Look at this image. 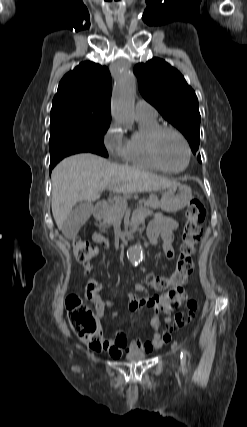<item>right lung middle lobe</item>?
<instances>
[{
    "instance_id": "obj_1",
    "label": "right lung middle lobe",
    "mask_w": 247,
    "mask_h": 427,
    "mask_svg": "<svg viewBox=\"0 0 247 427\" xmlns=\"http://www.w3.org/2000/svg\"><path fill=\"white\" fill-rule=\"evenodd\" d=\"M111 118H100L88 113L60 111L51 114L50 154L56 151L78 148L107 157L104 134Z\"/></svg>"
}]
</instances>
